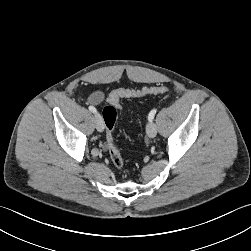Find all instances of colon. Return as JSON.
I'll return each instance as SVG.
<instances>
[{
  "label": "colon",
  "instance_id": "1",
  "mask_svg": "<svg viewBox=\"0 0 251 251\" xmlns=\"http://www.w3.org/2000/svg\"><path fill=\"white\" fill-rule=\"evenodd\" d=\"M168 92L165 86L146 87L141 90L134 89H119L111 92L108 96V103L102 110L107 128V147L110 154L112 164L116 168H122L124 160L120 154L114 138V126L117 120V109L121 106L123 98H139L147 95H158Z\"/></svg>",
  "mask_w": 251,
  "mask_h": 251
}]
</instances>
